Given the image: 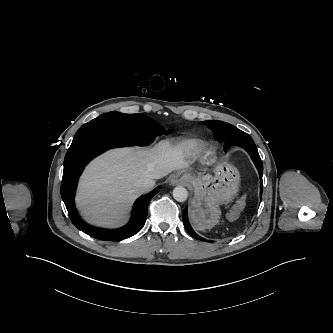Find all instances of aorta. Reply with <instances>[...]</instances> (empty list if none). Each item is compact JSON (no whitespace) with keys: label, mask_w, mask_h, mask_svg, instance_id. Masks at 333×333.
<instances>
[{"label":"aorta","mask_w":333,"mask_h":333,"mask_svg":"<svg viewBox=\"0 0 333 333\" xmlns=\"http://www.w3.org/2000/svg\"><path fill=\"white\" fill-rule=\"evenodd\" d=\"M173 197L178 202H184L188 197V191L183 186H176L173 189Z\"/></svg>","instance_id":"762f6f07"}]
</instances>
